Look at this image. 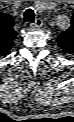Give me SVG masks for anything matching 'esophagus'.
<instances>
[{
	"label": "esophagus",
	"mask_w": 74,
	"mask_h": 122,
	"mask_svg": "<svg viewBox=\"0 0 74 122\" xmlns=\"http://www.w3.org/2000/svg\"><path fill=\"white\" fill-rule=\"evenodd\" d=\"M43 21L41 19H36L35 22L32 24L33 27H42Z\"/></svg>",
	"instance_id": "obj_1"
}]
</instances>
